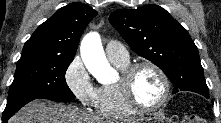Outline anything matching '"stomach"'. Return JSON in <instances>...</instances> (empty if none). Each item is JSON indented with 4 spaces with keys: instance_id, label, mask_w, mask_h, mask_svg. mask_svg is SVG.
Instances as JSON below:
<instances>
[{
    "instance_id": "obj_1",
    "label": "stomach",
    "mask_w": 221,
    "mask_h": 123,
    "mask_svg": "<svg viewBox=\"0 0 221 123\" xmlns=\"http://www.w3.org/2000/svg\"><path fill=\"white\" fill-rule=\"evenodd\" d=\"M138 123H174L172 120L167 119L163 114L161 113H155L152 116H149L145 120H142Z\"/></svg>"
}]
</instances>
